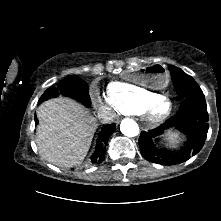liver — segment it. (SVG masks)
<instances>
[{
	"instance_id": "6515ba94",
	"label": "liver",
	"mask_w": 221,
	"mask_h": 221,
	"mask_svg": "<svg viewBox=\"0 0 221 221\" xmlns=\"http://www.w3.org/2000/svg\"><path fill=\"white\" fill-rule=\"evenodd\" d=\"M36 139L40 155L59 167L80 165L97 128L96 118L78 102L58 97L38 107Z\"/></svg>"
}]
</instances>
